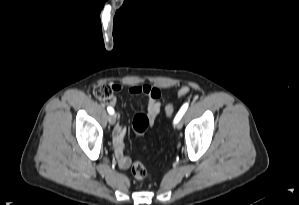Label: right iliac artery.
I'll return each mask as SVG.
<instances>
[{"instance_id":"82829eb1","label":"right iliac artery","mask_w":299,"mask_h":205,"mask_svg":"<svg viewBox=\"0 0 299 205\" xmlns=\"http://www.w3.org/2000/svg\"><path fill=\"white\" fill-rule=\"evenodd\" d=\"M107 110H108V112H109L110 114H113V113H114V110H113L112 107H108Z\"/></svg>"}]
</instances>
